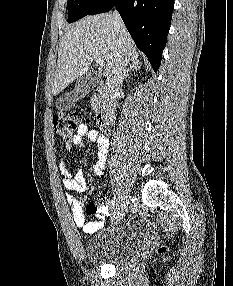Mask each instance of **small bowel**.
<instances>
[{
  "mask_svg": "<svg viewBox=\"0 0 233 286\" xmlns=\"http://www.w3.org/2000/svg\"><path fill=\"white\" fill-rule=\"evenodd\" d=\"M83 138H87L97 147V158L93 165V174L101 175L105 168L109 142L98 130L82 123L77 127L76 135L66 145V149L82 146ZM59 168L65 189L70 192H83L86 190L87 181L81 169L72 171L63 162L60 163ZM66 198L71 207L72 218L76 227L82 228L86 234H93L102 227L104 216L109 211L107 198L90 202L86 207L84 201L77 199L71 193L67 194ZM85 212L91 216V221L86 222Z\"/></svg>",
  "mask_w": 233,
  "mask_h": 286,
  "instance_id": "1",
  "label": "small bowel"
}]
</instances>
